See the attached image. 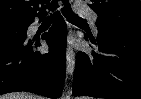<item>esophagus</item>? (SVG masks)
<instances>
[{
  "label": "esophagus",
  "instance_id": "obj_1",
  "mask_svg": "<svg viewBox=\"0 0 141 99\" xmlns=\"http://www.w3.org/2000/svg\"><path fill=\"white\" fill-rule=\"evenodd\" d=\"M73 2V0H71ZM70 37H72V32L70 31ZM75 67V53L71 47L68 48L66 54V71L67 74L72 75Z\"/></svg>",
  "mask_w": 141,
  "mask_h": 99
}]
</instances>
